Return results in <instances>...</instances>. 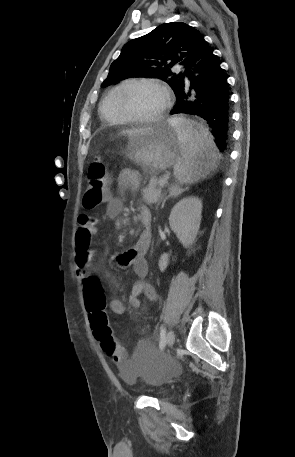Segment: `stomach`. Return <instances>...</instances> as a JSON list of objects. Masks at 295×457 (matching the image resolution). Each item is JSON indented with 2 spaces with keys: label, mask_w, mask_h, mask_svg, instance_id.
<instances>
[{
  "label": "stomach",
  "mask_w": 295,
  "mask_h": 457,
  "mask_svg": "<svg viewBox=\"0 0 295 457\" xmlns=\"http://www.w3.org/2000/svg\"><path fill=\"white\" fill-rule=\"evenodd\" d=\"M179 147L176 129L165 121L149 133L130 139L125 155L145 172L156 174L179 160Z\"/></svg>",
  "instance_id": "obj_1"
}]
</instances>
